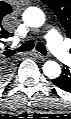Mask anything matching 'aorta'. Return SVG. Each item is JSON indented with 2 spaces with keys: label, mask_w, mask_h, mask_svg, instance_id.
<instances>
[{
  "label": "aorta",
  "mask_w": 71,
  "mask_h": 119,
  "mask_svg": "<svg viewBox=\"0 0 71 119\" xmlns=\"http://www.w3.org/2000/svg\"><path fill=\"white\" fill-rule=\"evenodd\" d=\"M26 21L32 27H40L45 22V15L40 9H34L27 14ZM43 72L49 77H56L60 74V67L55 61H47L43 65Z\"/></svg>",
  "instance_id": "762f6f07"
}]
</instances>
